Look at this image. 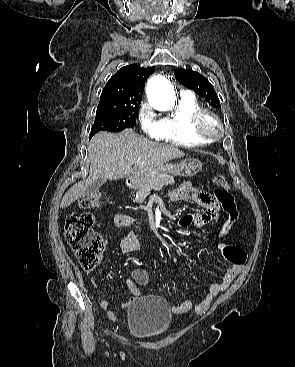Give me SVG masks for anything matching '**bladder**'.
<instances>
[{"mask_svg":"<svg viewBox=\"0 0 295 367\" xmlns=\"http://www.w3.org/2000/svg\"><path fill=\"white\" fill-rule=\"evenodd\" d=\"M172 318L173 312L163 297H140L128 308V331L135 338L157 339L167 333Z\"/></svg>","mask_w":295,"mask_h":367,"instance_id":"bladder-1","label":"bladder"}]
</instances>
